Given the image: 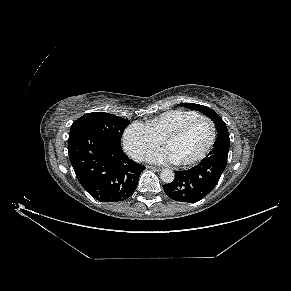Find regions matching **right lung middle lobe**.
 <instances>
[{
    "label": "right lung middle lobe",
    "mask_w": 291,
    "mask_h": 291,
    "mask_svg": "<svg viewBox=\"0 0 291 291\" xmlns=\"http://www.w3.org/2000/svg\"><path fill=\"white\" fill-rule=\"evenodd\" d=\"M129 124L127 119L106 112H92L77 119L71 126L70 134L80 130H90L102 134L121 145L124 128Z\"/></svg>",
    "instance_id": "right-lung-middle-lobe-1"
}]
</instances>
